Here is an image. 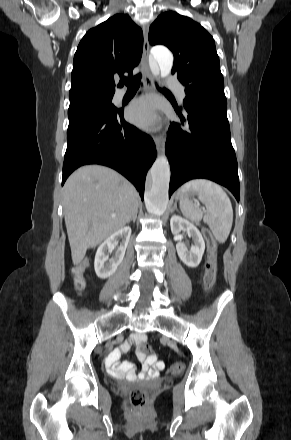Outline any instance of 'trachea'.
Returning a JSON list of instances; mask_svg holds the SVG:
<instances>
[{
    "label": "trachea",
    "mask_w": 291,
    "mask_h": 440,
    "mask_svg": "<svg viewBox=\"0 0 291 440\" xmlns=\"http://www.w3.org/2000/svg\"><path fill=\"white\" fill-rule=\"evenodd\" d=\"M140 80H141V74L139 73L138 75L134 76L131 79L123 80V82L128 88H138Z\"/></svg>",
    "instance_id": "1"
}]
</instances>
